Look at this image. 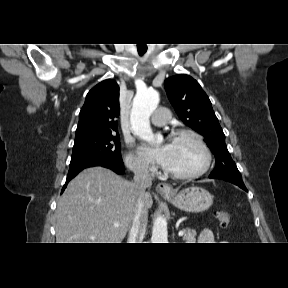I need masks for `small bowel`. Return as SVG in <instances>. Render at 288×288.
I'll return each mask as SVG.
<instances>
[{"mask_svg":"<svg viewBox=\"0 0 288 288\" xmlns=\"http://www.w3.org/2000/svg\"><path fill=\"white\" fill-rule=\"evenodd\" d=\"M198 242L203 244L214 243L213 232L210 229L202 230L199 235Z\"/></svg>","mask_w":288,"mask_h":288,"instance_id":"obj_1","label":"small bowel"}]
</instances>
